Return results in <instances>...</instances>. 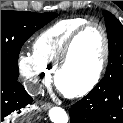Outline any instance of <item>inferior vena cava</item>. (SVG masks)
<instances>
[{"label":"inferior vena cava","instance_id":"inferior-vena-cava-1","mask_svg":"<svg viewBox=\"0 0 123 123\" xmlns=\"http://www.w3.org/2000/svg\"><path fill=\"white\" fill-rule=\"evenodd\" d=\"M25 89L31 96H36L43 92L41 85L33 84L31 82L25 84Z\"/></svg>","mask_w":123,"mask_h":123}]
</instances>
